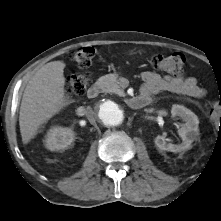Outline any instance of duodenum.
<instances>
[{
  "label": "duodenum",
  "mask_w": 221,
  "mask_h": 221,
  "mask_svg": "<svg viewBox=\"0 0 221 221\" xmlns=\"http://www.w3.org/2000/svg\"><path fill=\"white\" fill-rule=\"evenodd\" d=\"M99 92L100 86L98 84H94L88 89L87 96L93 99L98 96ZM151 101L152 99L149 94H140L138 96L130 98L128 102L132 108L138 109L149 105Z\"/></svg>",
  "instance_id": "obj_1"
}]
</instances>
